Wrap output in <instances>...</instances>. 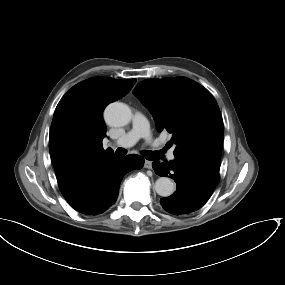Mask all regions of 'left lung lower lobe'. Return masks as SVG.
<instances>
[{
	"label": "left lung lower lobe",
	"instance_id": "left-lung-lower-lobe-1",
	"mask_svg": "<svg viewBox=\"0 0 285 285\" xmlns=\"http://www.w3.org/2000/svg\"><path fill=\"white\" fill-rule=\"evenodd\" d=\"M153 169L157 175H170L176 182L177 190L160 200L162 207L174 215L200 209L219 183V166L201 160L175 157L170 162H153Z\"/></svg>",
	"mask_w": 285,
	"mask_h": 285
}]
</instances>
